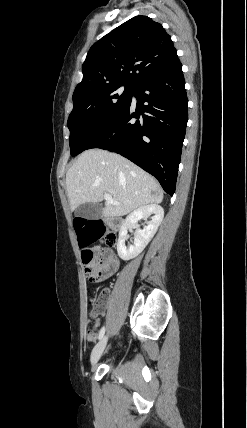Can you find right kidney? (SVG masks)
Instances as JSON below:
<instances>
[{
	"label": "right kidney",
	"mask_w": 247,
	"mask_h": 428,
	"mask_svg": "<svg viewBox=\"0 0 247 428\" xmlns=\"http://www.w3.org/2000/svg\"><path fill=\"white\" fill-rule=\"evenodd\" d=\"M151 215H153L151 217V221L146 222L147 226H145L144 229H136L134 233L133 244L126 246L125 242L128 238V229L135 226L136 223L141 219L147 220V218H149ZM163 217L164 210L160 205L157 204L146 205L130 213L126 217L125 222L119 232V238L117 243V252L119 257L122 260L127 261L138 256L157 232L158 227L163 220Z\"/></svg>",
	"instance_id": "1"
}]
</instances>
